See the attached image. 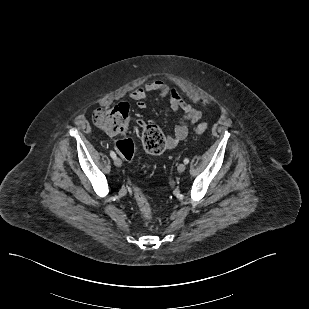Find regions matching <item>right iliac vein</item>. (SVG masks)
Here are the masks:
<instances>
[{
    "label": "right iliac vein",
    "instance_id": "obj_1",
    "mask_svg": "<svg viewBox=\"0 0 309 309\" xmlns=\"http://www.w3.org/2000/svg\"><path fill=\"white\" fill-rule=\"evenodd\" d=\"M114 164H115V166H117V167H121L122 166V161L119 159V158H115L114 159Z\"/></svg>",
    "mask_w": 309,
    "mask_h": 309
}]
</instances>
